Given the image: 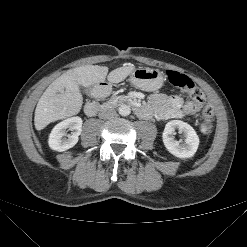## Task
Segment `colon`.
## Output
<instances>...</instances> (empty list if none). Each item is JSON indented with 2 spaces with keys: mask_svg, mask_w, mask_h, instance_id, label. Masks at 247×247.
<instances>
[{
  "mask_svg": "<svg viewBox=\"0 0 247 247\" xmlns=\"http://www.w3.org/2000/svg\"><path fill=\"white\" fill-rule=\"evenodd\" d=\"M168 82L188 93L192 98V102L185 105L184 111L187 114H193L199 111L205 101L202 90L193 82V80L185 74L168 70L166 72ZM214 111L211 105H205L202 109L200 119V129L203 134L210 135L213 130Z\"/></svg>",
  "mask_w": 247,
  "mask_h": 247,
  "instance_id": "colon-1",
  "label": "colon"
}]
</instances>
